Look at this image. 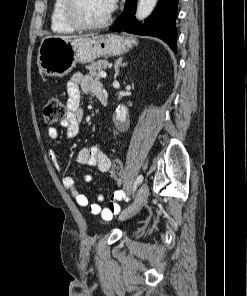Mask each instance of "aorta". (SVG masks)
<instances>
[{
    "label": "aorta",
    "instance_id": "obj_1",
    "mask_svg": "<svg viewBox=\"0 0 247 296\" xmlns=\"http://www.w3.org/2000/svg\"><path fill=\"white\" fill-rule=\"evenodd\" d=\"M157 0H139L137 10H136V17L139 20H143L144 18L148 17L151 12L153 11ZM127 117V109L123 105H119L116 110V119L120 122H124Z\"/></svg>",
    "mask_w": 247,
    "mask_h": 296
}]
</instances>
